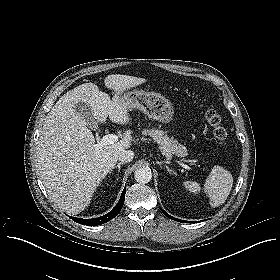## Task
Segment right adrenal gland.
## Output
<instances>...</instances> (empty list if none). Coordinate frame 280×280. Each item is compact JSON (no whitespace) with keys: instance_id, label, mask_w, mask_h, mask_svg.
<instances>
[{"instance_id":"2a0ac1e0","label":"right adrenal gland","mask_w":280,"mask_h":280,"mask_svg":"<svg viewBox=\"0 0 280 280\" xmlns=\"http://www.w3.org/2000/svg\"><path fill=\"white\" fill-rule=\"evenodd\" d=\"M123 164H124L123 162H120L115 167H113V169L114 168L118 169V175H119V172H120V169H121V165H123ZM117 180H118V178H117Z\"/></svg>"}]
</instances>
